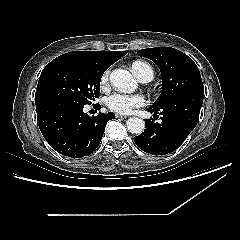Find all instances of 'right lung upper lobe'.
<instances>
[{
    "instance_id": "1",
    "label": "right lung upper lobe",
    "mask_w": 240,
    "mask_h": 240,
    "mask_svg": "<svg viewBox=\"0 0 240 240\" xmlns=\"http://www.w3.org/2000/svg\"><path fill=\"white\" fill-rule=\"evenodd\" d=\"M127 52L125 51H74L66 55H77L90 60L99 68L107 70L114 62L119 60Z\"/></svg>"
}]
</instances>
